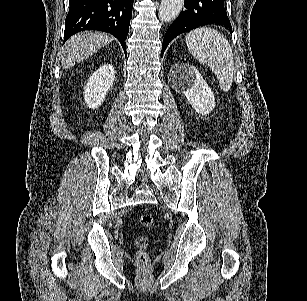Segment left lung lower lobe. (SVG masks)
<instances>
[{"instance_id":"1","label":"left lung lower lobe","mask_w":307,"mask_h":301,"mask_svg":"<svg viewBox=\"0 0 307 301\" xmlns=\"http://www.w3.org/2000/svg\"><path fill=\"white\" fill-rule=\"evenodd\" d=\"M225 0H185V9L168 28L162 45L161 55L178 35L206 24L224 26L232 34V27L224 8Z\"/></svg>"}]
</instances>
